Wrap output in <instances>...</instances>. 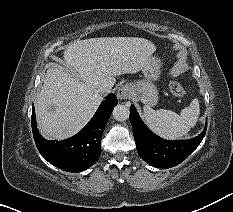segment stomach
Listing matches in <instances>:
<instances>
[{"instance_id":"obj_1","label":"stomach","mask_w":233,"mask_h":212,"mask_svg":"<svg viewBox=\"0 0 233 212\" xmlns=\"http://www.w3.org/2000/svg\"><path fill=\"white\" fill-rule=\"evenodd\" d=\"M161 67V59L151 55L148 64L142 70L144 79L132 85L134 94L147 106H154L157 104L158 91L153 82L159 79Z\"/></svg>"}]
</instances>
